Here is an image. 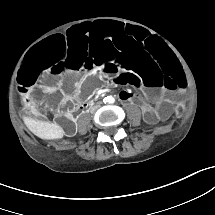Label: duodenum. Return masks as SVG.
Here are the masks:
<instances>
[{
    "mask_svg": "<svg viewBox=\"0 0 215 215\" xmlns=\"http://www.w3.org/2000/svg\"><path fill=\"white\" fill-rule=\"evenodd\" d=\"M92 104H93V102L87 103V107L91 106Z\"/></svg>",
    "mask_w": 215,
    "mask_h": 215,
    "instance_id": "1",
    "label": "duodenum"
}]
</instances>
